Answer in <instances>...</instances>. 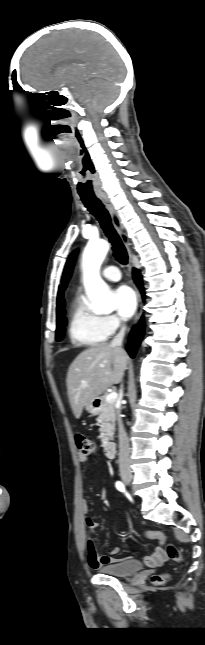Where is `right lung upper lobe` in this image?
<instances>
[{
	"instance_id": "cb5924a9",
	"label": "right lung upper lobe",
	"mask_w": 205,
	"mask_h": 645,
	"mask_svg": "<svg viewBox=\"0 0 205 645\" xmlns=\"http://www.w3.org/2000/svg\"><path fill=\"white\" fill-rule=\"evenodd\" d=\"M64 300L62 299V293L61 290L59 289L58 291V297H57V318L61 316V314L64 312Z\"/></svg>"
}]
</instances>
